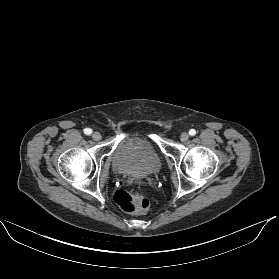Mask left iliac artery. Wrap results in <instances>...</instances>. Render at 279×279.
Returning a JSON list of instances; mask_svg holds the SVG:
<instances>
[{"mask_svg":"<svg viewBox=\"0 0 279 279\" xmlns=\"http://www.w3.org/2000/svg\"><path fill=\"white\" fill-rule=\"evenodd\" d=\"M196 134V130L195 129H191L190 131H189V135L190 136H194Z\"/></svg>","mask_w":279,"mask_h":279,"instance_id":"obj_1","label":"left iliac artery"}]
</instances>
